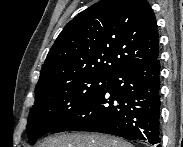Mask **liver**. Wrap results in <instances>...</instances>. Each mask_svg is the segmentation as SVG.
<instances>
[{
    "mask_svg": "<svg viewBox=\"0 0 183 147\" xmlns=\"http://www.w3.org/2000/svg\"><path fill=\"white\" fill-rule=\"evenodd\" d=\"M38 147H133L132 144L120 139L101 134H61L49 138Z\"/></svg>",
    "mask_w": 183,
    "mask_h": 147,
    "instance_id": "1",
    "label": "liver"
}]
</instances>
